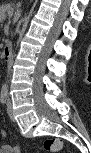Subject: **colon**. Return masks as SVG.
Segmentation results:
<instances>
[{
  "label": "colon",
  "instance_id": "5ec220e1",
  "mask_svg": "<svg viewBox=\"0 0 91 153\" xmlns=\"http://www.w3.org/2000/svg\"><path fill=\"white\" fill-rule=\"evenodd\" d=\"M42 148L47 152H59L63 148V141L58 138H48L42 143ZM18 150V147H16Z\"/></svg>",
  "mask_w": 91,
  "mask_h": 153
}]
</instances>
